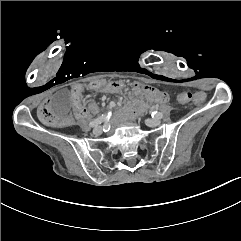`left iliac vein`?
<instances>
[{
	"instance_id": "left-iliac-vein-1",
	"label": "left iliac vein",
	"mask_w": 241,
	"mask_h": 241,
	"mask_svg": "<svg viewBox=\"0 0 241 241\" xmlns=\"http://www.w3.org/2000/svg\"><path fill=\"white\" fill-rule=\"evenodd\" d=\"M145 123L149 127H156L160 124V120H158V119H147L145 121Z\"/></svg>"
}]
</instances>
